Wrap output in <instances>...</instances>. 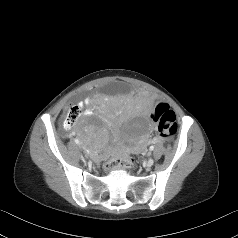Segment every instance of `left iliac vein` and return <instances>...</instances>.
<instances>
[{"instance_id":"obj_1","label":"left iliac vein","mask_w":238,"mask_h":238,"mask_svg":"<svg viewBox=\"0 0 238 238\" xmlns=\"http://www.w3.org/2000/svg\"><path fill=\"white\" fill-rule=\"evenodd\" d=\"M153 164H154V160L151 158L146 162L147 167H151Z\"/></svg>"}]
</instances>
